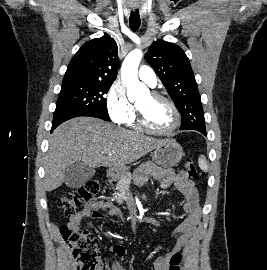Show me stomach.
Segmentation results:
<instances>
[{
  "mask_svg": "<svg viewBox=\"0 0 267 270\" xmlns=\"http://www.w3.org/2000/svg\"><path fill=\"white\" fill-rule=\"evenodd\" d=\"M183 156L182 147L174 140H166L153 153V160L160 166L176 165ZM108 175L113 179H120L128 173V168H110Z\"/></svg>",
  "mask_w": 267,
  "mask_h": 270,
  "instance_id": "obj_1",
  "label": "stomach"
}]
</instances>
